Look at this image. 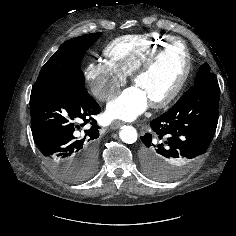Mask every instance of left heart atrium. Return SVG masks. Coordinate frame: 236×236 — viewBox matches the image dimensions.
I'll use <instances>...</instances> for the list:
<instances>
[{"mask_svg":"<svg viewBox=\"0 0 236 236\" xmlns=\"http://www.w3.org/2000/svg\"><path fill=\"white\" fill-rule=\"evenodd\" d=\"M148 102L144 92L134 85L108 103L105 116L110 120H133L146 109Z\"/></svg>","mask_w":236,"mask_h":236,"instance_id":"1","label":"left heart atrium"}]
</instances>
